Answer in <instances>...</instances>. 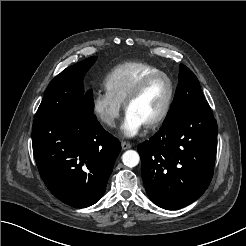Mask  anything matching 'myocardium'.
<instances>
[{
  "instance_id": "obj_1",
  "label": "myocardium",
  "mask_w": 246,
  "mask_h": 246,
  "mask_svg": "<svg viewBox=\"0 0 246 246\" xmlns=\"http://www.w3.org/2000/svg\"><path fill=\"white\" fill-rule=\"evenodd\" d=\"M163 77L167 80L169 84V94L166 100V103L164 105L163 110L161 113L154 118L152 121L145 124L147 128H155L159 126L168 116L175 96V84L173 79L168 75L167 73L163 71H157L151 74H148L147 76L143 77L136 86L132 89V91L128 94L124 101V108L126 111H128L129 106L142 94V92L145 90V88L151 83L154 79Z\"/></svg>"
}]
</instances>
